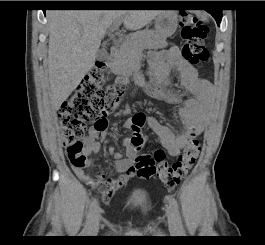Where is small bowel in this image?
<instances>
[{
  "mask_svg": "<svg viewBox=\"0 0 265 245\" xmlns=\"http://www.w3.org/2000/svg\"><path fill=\"white\" fill-rule=\"evenodd\" d=\"M149 73L152 82L146 86L147 93L156 99H163L170 103H180L177 116L183 131L179 134L163 124L158 118L149 116L147 122L158 135L161 144L171 156H178L194 133H201L205 122L200 119V112L206 107L213 86L207 80L199 77L197 69L182 58L178 47L173 46L162 51H151L147 57ZM178 73L181 85L188 97L182 98L171 90V74ZM127 129H131V119L124 122ZM106 137V127L99 129L93 127L85 139L84 155L86 164L84 167H74L76 175L88 185L100 190L106 198L111 197L133 176L131 164L136 157V149L131 138L123 140L125 156L117 152L114 147L109 148V154L115 160V169L119 176L109 179L104 173L93 175V156L100 149V141Z\"/></svg>",
  "mask_w": 265,
  "mask_h": 245,
  "instance_id": "obj_1",
  "label": "small bowel"
}]
</instances>
